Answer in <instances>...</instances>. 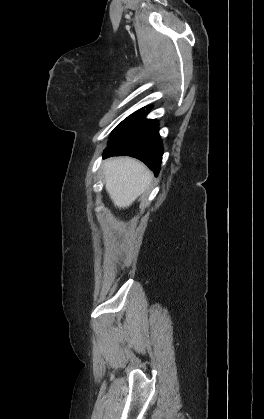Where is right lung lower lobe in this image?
<instances>
[{
	"mask_svg": "<svg viewBox=\"0 0 264 419\" xmlns=\"http://www.w3.org/2000/svg\"><path fill=\"white\" fill-rule=\"evenodd\" d=\"M148 110L141 113L132 127L109 143L103 157H135L143 161L157 176L162 162L163 146L158 133V122L144 118Z\"/></svg>",
	"mask_w": 264,
	"mask_h": 419,
	"instance_id": "obj_1",
	"label": "right lung lower lobe"
}]
</instances>
